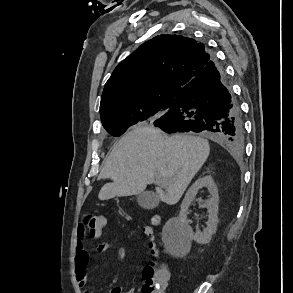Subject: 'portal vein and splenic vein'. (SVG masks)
I'll list each match as a JSON object with an SVG mask.
<instances>
[{"label": "portal vein and splenic vein", "mask_w": 293, "mask_h": 293, "mask_svg": "<svg viewBox=\"0 0 293 293\" xmlns=\"http://www.w3.org/2000/svg\"><path fill=\"white\" fill-rule=\"evenodd\" d=\"M156 178H157V180H159V181H163V178H162V176L161 175H156Z\"/></svg>", "instance_id": "portal-vein-and-splenic-vein-1"}]
</instances>
